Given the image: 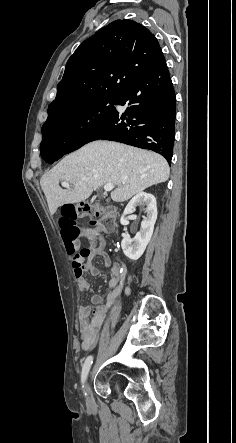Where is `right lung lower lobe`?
<instances>
[{
  "label": "right lung lower lobe",
  "mask_w": 236,
  "mask_h": 443,
  "mask_svg": "<svg viewBox=\"0 0 236 443\" xmlns=\"http://www.w3.org/2000/svg\"><path fill=\"white\" fill-rule=\"evenodd\" d=\"M115 103L126 106L119 114L115 107L67 146H45L41 157L53 163L93 140L105 139L153 150L171 162L175 135L176 97L162 56L147 73L136 79Z\"/></svg>",
  "instance_id": "98d812e1"
}]
</instances>
